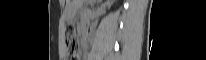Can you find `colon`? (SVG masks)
<instances>
[{"instance_id": "colon-1", "label": "colon", "mask_w": 206, "mask_h": 60, "mask_svg": "<svg viewBox=\"0 0 206 60\" xmlns=\"http://www.w3.org/2000/svg\"><path fill=\"white\" fill-rule=\"evenodd\" d=\"M66 44H67V59L74 60L77 43L75 37V29L72 24H69L66 27Z\"/></svg>"}]
</instances>
